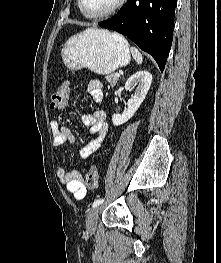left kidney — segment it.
I'll use <instances>...</instances> for the list:
<instances>
[{
    "label": "left kidney",
    "mask_w": 221,
    "mask_h": 263,
    "mask_svg": "<svg viewBox=\"0 0 221 263\" xmlns=\"http://www.w3.org/2000/svg\"><path fill=\"white\" fill-rule=\"evenodd\" d=\"M152 82V75L145 70L133 74L125 83L126 90L136 87L134 95L128 100V109L123 114H113L114 126H119L130 120L144 101Z\"/></svg>",
    "instance_id": "obj_1"
}]
</instances>
